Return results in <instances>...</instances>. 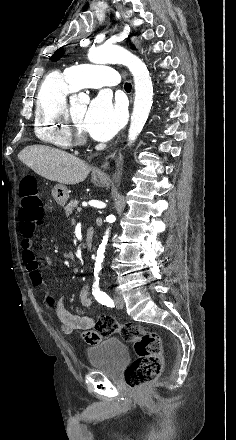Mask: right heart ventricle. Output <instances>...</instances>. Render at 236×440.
Instances as JSON below:
<instances>
[{
    "mask_svg": "<svg viewBox=\"0 0 236 440\" xmlns=\"http://www.w3.org/2000/svg\"><path fill=\"white\" fill-rule=\"evenodd\" d=\"M74 90L65 74L50 73L37 93L35 134L41 141L58 149H68L72 145L64 114L67 95Z\"/></svg>",
    "mask_w": 236,
    "mask_h": 440,
    "instance_id": "1",
    "label": "right heart ventricle"
}]
</instances>
